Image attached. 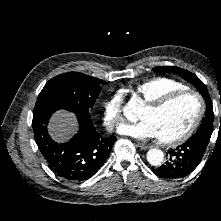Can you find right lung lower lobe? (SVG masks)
<instances>
[{"label": "right lung lower lobe", "mask_w": 221, "mask_h": 221, "mask_svg": "<svg viewBox=\"0 0 221 221\" xmlns=\"http://www.w3.org/2000/svg\"><path fill=\"white\" fill-rule=\"evenodd\" d=\"M57 110L52 104L36 103L32 121L36 144L57 176L69 181L87 180L105 163L116 137H102L91 120L77 116L78 133L66 143H57L47 132L49 118Z\"/></svg>", "instance_id": "right-lung-lower-lobe-1"}]
</instances>
